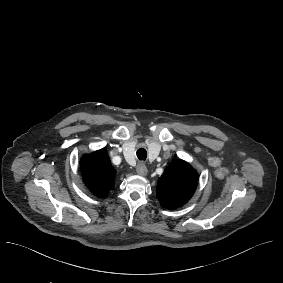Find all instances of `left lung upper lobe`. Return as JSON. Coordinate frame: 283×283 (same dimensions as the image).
<instances>
[{
	"label": "left lung upper lobe",
	"mask_w": 283,
	"mask_h": 283,
	"mask_svg": "<svg viewBox=\"0 0 283 283\" xmlns=\"http://www.w3.org/2000/svg\"><path fill=\"white\" fill-rule=\"evenodd\" d=\"M197 184V172L186 161L175 160L158 179L156 195L163 207H180L192 197Z\"/></svg>",
	"instance_id": "1"
}]
</instances>
